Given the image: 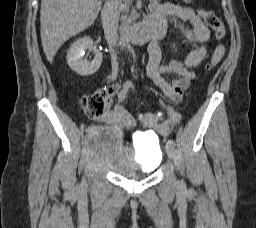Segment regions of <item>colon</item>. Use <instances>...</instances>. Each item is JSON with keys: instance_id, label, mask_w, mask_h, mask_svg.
<instances>
[{"instance_id": "colon-1", "label": "colon", "mask_w": 256, "mask_h": 228, "mask_svg": "<svg viewBox=\"0 0 256 228\" xmlns=\"http://www.w3.org/2000/svg\"><path fill=\"white\" fill-rule=\"evenodd\" d=\"M185 3H190L192 0H182ZM199 16L204 20L205 24L210 27L218 40L225 36V26L223 22L212 11L205 9H198ZM225 54V47L219 45L215 48L209 63L206 66L208 71L214 69L223 59ZM82 107L86 114L92 118H97L102 115L105 110V92L97 91L86 95L82 99ZM140 122L145 127H151L159 123L161 114L159 112L143 113L139 117Z\"/></svg>"}]
</instances>
